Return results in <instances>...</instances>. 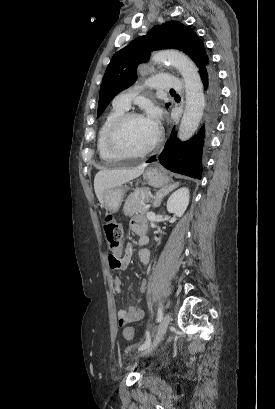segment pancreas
<instances>
[{
    "mask_svg": "<svg viewBox=\"0 0 275 409\" xmlns=\"http://www.w3.org/2000/svg\"><path fill=\"white\" fill-rule=\"evenodd\" d=\"M150 198L148 186L136 188L125 200L123 207L124 215H126V217H132L134 213H147L148 209H144V202H149Z\"/></svg>",
    "mask_w": 275,
    "mask_h": 409,
    "instance_id": "obj_1",
    "label": "pancreas"
}]
</instances>
